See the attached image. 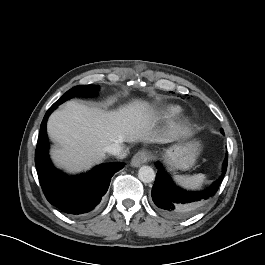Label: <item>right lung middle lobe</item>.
I'll return each mask as SVG.
<instances>
[{
  "mask_svg": "<svg viewBox=\"0 0 265 265\" xmlns=\"http://www.w3.org/2000/svg\"><path fill=\"white\" fill-rule=\"evenodd\" d=\"M98 86L96 85H82L76 86L70 90H68L59 100H57L54 104L60 105L66 100L76 97V96H96V90Z\"/></svg>",
  "mask_w": 265,
  "mask_h": 265,
  "instance_id": "1",
  "label": "right lung middle lobe"
}]
</instances>
